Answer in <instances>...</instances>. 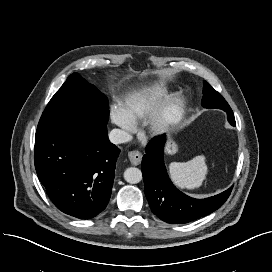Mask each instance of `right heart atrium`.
<instances>
[{
  "instance_id": "1",
  "label": "right heart atrium",
  "mask_w": 272,
  "mask_h": 272,
  "mask_svg": "<svg viewBox=\"0 0 272 272\" xmlns=\"http://www.w3.org/2000/svg\"><path fill=\"white\" fill-rule=\"evenodd\" d=\"M110 117L114 124L120 126L126 133L133 129V125L125 118L121 108L113 106L110 110Z\"/></svg>"
}]
</instances>
